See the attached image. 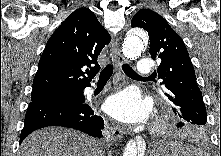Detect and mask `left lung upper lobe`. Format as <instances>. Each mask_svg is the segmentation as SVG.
I'll use <instances>...</instances> for the list:
<instances>
[{
  "label": "left lung upper lobe",
  "instance_id": "1",
  "mask_svg": "<svg viewBox=\"0 0 221 156\" xmlns=\"http://www.w3.org/2000/svg\"><path fill=\"white\" fill-rule=\"evenodd\" d=\"M131 26L148 32L150 55L161 60L156 75L162 79L164 95L174 113L186 123L205 125L206 108L183 40L162 16L149 9L139 10Z\"/></svg>",
  "mask_w": 221,
  "mask_h": 156
}]
</instances>
